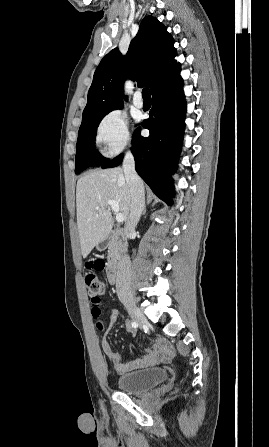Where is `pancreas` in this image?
Masks as SVG:
<instances>
[{
	"instance_id": "cf45deb5",
	"label": "pancreas",
	"mask_w": 269,
	"mask_h": 447,
	"mask_svg": "<svg viewBox=\"0 0 269 447\" xmlns=\"http://www.w3.org/2000/svg\"><path fill=\"white\" fill-rule=\"evenodd\" d=\"M107 257H108V263H116L119 257V247L115 239H113V241H111L109 245Z\"/></svg>"
}]
</instances>
